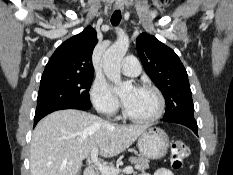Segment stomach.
Wrapping results in <instances>:
<instances>
[{
    "instance_id": "0dacf381",
    "label": "stomach",
    "mask_w": 233,
    "mask_h": 175,
    "mask_svg": "<svg viewBox=\"0 0 233 175\" xmlns=\"http://www.w3.org/2000/svg\"><path fill=\"white\" fill-rule=\"evenodd\" d=\"M137 146L142 157L158 160L167 154L169 138L161 128L150 127L139 136Z\"/></svg>"
}]
</instances>
